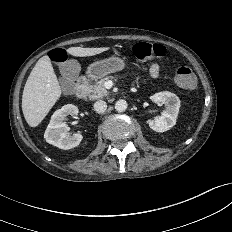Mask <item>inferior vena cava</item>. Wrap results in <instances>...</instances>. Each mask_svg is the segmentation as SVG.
<instances>
[{
    "mask_svg": "<svg viewBox=\"0 0 232 232\" xmlns=\"http://www.w3.org/2000/svg\"><path fill=\"white\" fill-rule=\"evenodd\" d=\"M106 109H107V104L105 101L99 100L94 103V110L97 113H104Z\"/></svg>",
    "mask_w": 232,
    "mask_h": 232,
    "instance_id": "obj_1",
    "label": "inferior vena cava"
}]
</instances>
